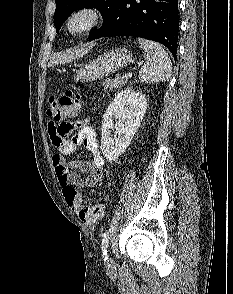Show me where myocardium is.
Listing matches in <instances>:
<instances>
[{
    "instance_id": "1",
    "label": "myocardium",
    "mask_w": 233,
    "mask_h": 294,
    "mask_svg": "<svg viewBox=\"0 0 233 294\" xmlns=\"http://www.w3.org/2000/svg\"><path fill=\"white\" fill-rule=\"evenodd\" d=\"M79 17H84L87 19L86 25L80 30H74L72 28V24ZM101 17L102 12L98 7L94 5H81L73 9L68 14L65 20V29L73 36H81L95 28L99 24Z\"/></svg>"
}]
</instances>
